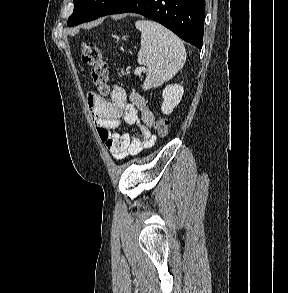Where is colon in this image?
Listing matches in <instances>:
<instances>
[{
  "label": "colon",
  "mask_w": 288,
  "mask_h": 293,
  "mask_svg": "<svg viewBox=\"0 0 288 293\" xmlns=\"http://www.w3.org/2000/svg\"><path fill=\"white\" fill-rule=\"evenodd\" d=\"M81 58L83 63L92 67L91 77L101 95H108L110 89L107 83L108 67L103 59L99 47L91 42L85 41L81 44ZM155 130L159 137L165 138L169 132V122L166 119H158Z\"/></svg>",
  "instance_id": "obj_1"
}]
</instances>
